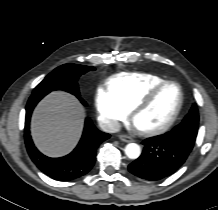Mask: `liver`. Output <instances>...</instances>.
I'll return each instance as SVG.
<instances>
[{
  "mask_svg": "<svg viewBox=\"0 0 218 210\" xmlns=\"http://www.w3.org/2000/svg\"><path fill=\"white\" fill-rule=\"evenodd\" d=\"M84 114L74 96L63 91L47 95L31 120V135L37 148L52 157L69 153L81 136Z\"/></svg>",
  "mask_w": 218,
  "mask_h": 210,
  "instance_id": "obj_1",
  "label": "liver"
}]
</instances>
